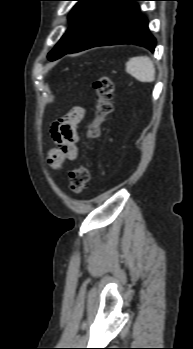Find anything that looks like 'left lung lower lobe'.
<instances>
[{"label": "left lung lower lobe", "mask_w": 193, "mask_h": 349, "mask_svg": "<svg viewBox=\"0 0 193 349\" xmlns=\"http://www.w3.org/2000/svg\"><path fill=\"white\" fill-rule=\"evenodd\" d=\"M134 1L143 0H111L85 30L78 42L58 58L67 53H75L96 46L116 44H136L153 52L155 39L149 32L147 20L140 14Z\"/></svg>", "instance_id": "0a47b994"}]
</instances>
